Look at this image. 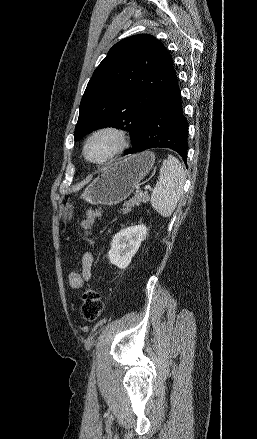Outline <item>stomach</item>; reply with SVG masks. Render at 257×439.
<instances>
[{"label": "stomach", "mask_w": 257, "mask_h": 439, "mask_svg": "<svg viewBox=\"0 0 257 439\" xmlns=\"http://www.w3.org/2000/svg\"><path fill=\"white\" fill-rule=\"evenodd\" d=\"M155 162L152 152L126 157L103 171L84 190L83 198L92 205H116L134 191ZM73 214V205L63 208L62 221L66 224Z\"/></svg>", "instance_id": "0dacf381"}]
</instances>
